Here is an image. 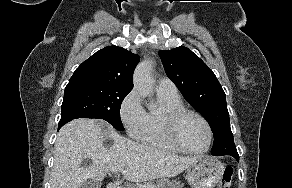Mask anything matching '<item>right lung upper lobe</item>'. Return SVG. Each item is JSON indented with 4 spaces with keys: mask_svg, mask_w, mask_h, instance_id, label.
<instances>
[{
    "mask_svg": "<svg viewBox=\"0 0 292 188\" xmlns=\"http://www.w3.org/2000/svg\"><path fill=\"white\" fill-rule=\"evenodd\" d=\"M140 57L118 46H108L84 61L69 82L88 81L132 90V76Z\"/></svg>",
    "mask_w": 292,
    "mask_h": 188,
    "instance_id": "1",
    "label": "right lung upper lobe"
}]
</instances>
